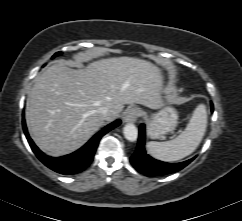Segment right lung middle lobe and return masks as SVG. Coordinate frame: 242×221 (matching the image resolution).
<instances>
[{"label": "right lung middle lobe", "mask_w": 242, "mask_h": 221, "mask_svg": "<svg viewBox=\"0 0 242 221\" xmlns=\"http://www.w3.org/2000/svg\"><path fill=\"white\" fill-rule=\"evenodd\" d=\"M58 54H59V53H57L56 55H54V57L57 56Z\"/></svg>", "instance_id": "obj_1"}]
</instances>
